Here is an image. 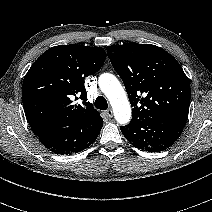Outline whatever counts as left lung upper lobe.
<instances>
[{
	"mask_svg": "<svg viewBox=\"0 0 212 212\" xmlns=\"http://www.w3.org/2000/svg\"><path fill=\"white\" fill-rule=\"evenodd\" d=\"M124 82L133 118L168 117L186 121L190 85L180 64L164 49L134 42L107 47Z\"/></svg>",
	"mask_w": 212,
	"mask_h": 212,
	"instance_id": "obj_1",
	"label": "left lung upper lobe"
}]
</instances>
